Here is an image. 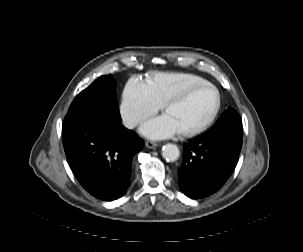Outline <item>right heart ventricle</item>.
I'll use <instances>...</instances> for the list:
<instances>
[{"mask_svg": "<svg viewBox=\"0 0 303 252\" xmlns=\"http://www.w3.org/2000/svg\"><path fill=\"white\" fill-rule=\"evenodd\" d=\"M202 81V78L190 74L159 73L150 78L145 85L150 97L163 106L167 101L182 96Z\"/></svg>", "mask_w": 303, "mask_h": 252, "instance_id": "obj_1", "label": "right heart ventricle"}]
</instances>
